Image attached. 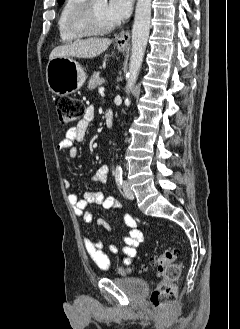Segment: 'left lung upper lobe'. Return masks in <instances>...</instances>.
Wrapping results in <instances>:
<instances>
[{"label":"left lung upper lobe","mask_w":240,"mask_h":329,"mask_svg":"<svg viewBox=\"0 0 240 329\" xmlns=\"http://www.w3.org/2000/svg\"><path fill=\"white\" fill-rule=\"evenodd\" d=\"M63 1H64V0H58V3H60V4H61V3H63Z\"/></svg>","instance_id":"obj_1"}]
</instances>
